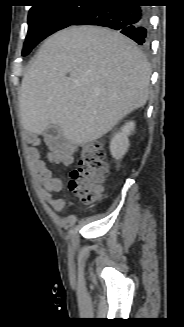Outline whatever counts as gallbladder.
Instances as JSON below:
<instances>
[{
  "label": "gallbladder",
  "instance_id": "bac80fb5",
  "mask_svg": "<svg viewBox=\"0 0 184 327\" xmlns=\"http://www.w3.org/2000/svg\"><path fill=\"white\" fill-rule=\"evenodd\" d=\"M61 134H62V131H61V129L58 126H50L46 130V136L60 137Z\"/></svg>",
  "mask_w": 184,
  "mask_h": 327
}]
</instances>
